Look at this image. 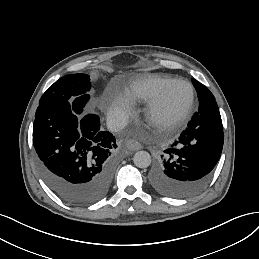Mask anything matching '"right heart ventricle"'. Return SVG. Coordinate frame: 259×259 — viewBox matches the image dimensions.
Wrapping results in <instances>:
<instances>
[{"mask_svg": "<svg viewBox=\"0 0 259 259\" xmlns=\"http://www.w3.org/2000/svg\"><path fill=\"white\" fill-rule=\"evenodd\" d=\"M126 94L134 101L135 104H138L141 100L145 101L146 96L149 98V96L146 94V79L144 80V85L135 83L134 85L127 88Z\"/></svg>", "mask_w": 259, "mask_h": 259, "instance_id": "obj_1", "label": "right heart ventricle"}]
</instances>
